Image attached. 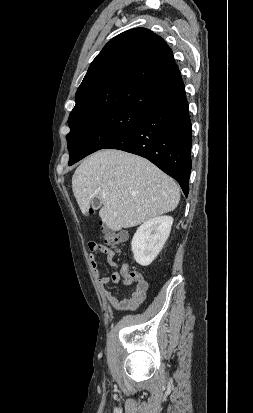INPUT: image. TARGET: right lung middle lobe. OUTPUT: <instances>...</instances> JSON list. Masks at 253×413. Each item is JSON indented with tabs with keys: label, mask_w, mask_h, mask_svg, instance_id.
<instances>
[{
	"label": "right lung middle lobe",
	"mask_w": 253,
	"mask_h": 413,
	"mask_svg": "<svg viewBox=\"0 0 253 413\" xmlns=\"http://www.w3.org/2000/svg\"><path fill=\"white\" fill-rule=\"evenodd\" d=\"M145 114L117 109L69 123L71 131L66 137L70 152L69 165L125 136L143 120Z\"/></svg>",
	"instance_id": "right-lung-middle-lobe-1"
}]
</instances>
